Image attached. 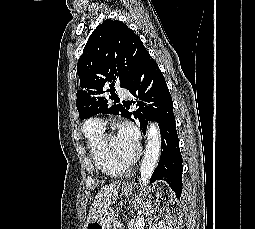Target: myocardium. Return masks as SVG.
<instances>
[{
    "label": "myocardium",
    "instance_id": "f54148a6",
    "mask_svg": "<svg viewBox=\"0 0 255 229\" xmlns=\"http://www.w3.org/2000/svg\"><path fill=\"white\" fill-rule=\"evenodd\" d=\"M111 136H114V134H113V133H106V134H104V135L102 136L101 141H100V148H101L102 154H103L105 157H107V158L110 160V162H111L112 164H114L116 167L122 169L123 171H124L125 169H128V168L132 167V166L137 162V160H138V158H139V156H140V152L137 151V152L135 153V155L133 156V158L130 159V160H128V161H120V160L116 159V158L110 153V151H109V149H108V146H107V140H108V138L111 137Z\"/></svg>",
    "mask_w": 255,
    "mask_h": 229
}]
</instances>
